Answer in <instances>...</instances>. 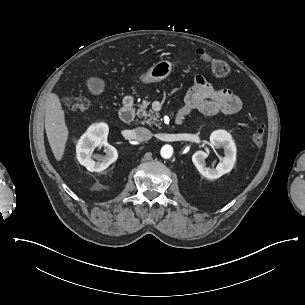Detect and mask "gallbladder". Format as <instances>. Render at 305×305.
<instances>
[{
  "instance_id": "bac80fb5",
  "label": "gallbladder",
  "mask_w": 305,
  "mask_h": 305,
  "mask_svg": "<svg viewBox=\"0 0 305 305\" xmlns=\"http://www.w3.org/2000/svg\"><path fill=\"white\" fill-rule=\"evenodd\" d=\"M85 85L92 96H100L106 88V81L98 76H91L86 79Z\"/></svg>"
}]
</instances>
